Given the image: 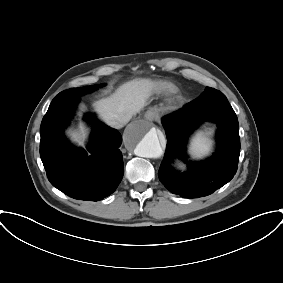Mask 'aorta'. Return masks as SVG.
Wrapping results in <instances>:
<instances>
[{"label": "aorta", "instance_id": "aorta-1", "mask_svg": "<svg viewBox=\"0 0 283 283\" xmlns=\"http://www.w3.org/2000/svg\"><path fill=\"white\" fill-rule=\"evenodd\" d=\"M125 145L137 156L159 158L163 154L156 128L144 121L132 123L124 134Z\"/></svg>", "mask_w": 283, "mask_h": 283}]
</instances>
